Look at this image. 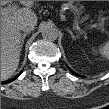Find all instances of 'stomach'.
<instances>
[{
	"instance_id": "0dacf381",
	"label": "stomach",
	"mask_w": 109,
	"mask_h": 109,
	"mask_svg": "<svg viewBox=\"0 0 109 109\" xmlns=\"http://www.w3.org/2000/svg\"><path fill=\"white\" fill-rule=\"evenodd\" d=\"M74 3H75V1H68L67 4H69L70 6H73Z\"/></svg>"
}]
</instances>
